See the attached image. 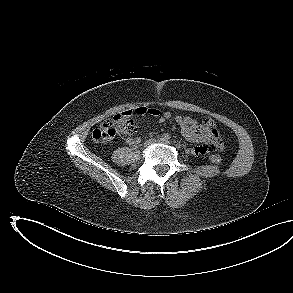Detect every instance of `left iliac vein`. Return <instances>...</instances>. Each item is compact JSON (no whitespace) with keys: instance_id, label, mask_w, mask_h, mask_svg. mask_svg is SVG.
I'll list each match as a JSON object with an SVG mask.
<instances>
[{"instance_id":"4c4485c4","label":"left iliac vein","mask_w":293,"mask_h":293,"mask_svg":"<svg viewBox=\"0 0 293 293\" xmlns=\"http://www.w3.org/2000/svg\"><path fill=\"white\" fill-rule=\"evenodd\" d=\"M158 142H159V143H162V144H167V145L170 144L169 141H164V140H161V139H160Z\"/></svg>"}]
</instances>
